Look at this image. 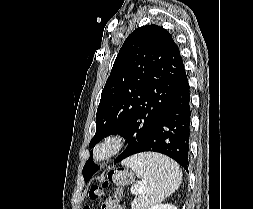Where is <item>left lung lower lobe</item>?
I'll return each mask as SVG.
<instances>
[{
	"label": "left lung lower lobe",
	"instance_id": "1",
	"mask_svg": "<svg viewBox=\"0 0 253 209\" xmlns=\"http://www.w3.org/2000/svg\"><path fill=\"white\" fill-rule=\"evenodd\" d=\"M189 102V84L185 69H183L166 111L136 153L153 151L165 154L188 171L191 116Z\"/></svg>",
	"mask_w": 253,
	"mask_h": 209
}]
</instances>
